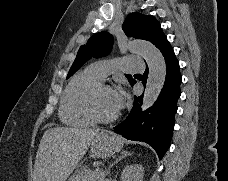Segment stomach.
Wrapping results in <instances>:
<instances>
[{
  "label": "stomach",
  "mask_w": 228,
  "mask_h": 181,
  "mask_svg": "<svg viewBox=\"0 0 228 181\" xmlns=\"http://www.w3.org/2000/svg\"><path fill=\"white\" fill-rule=\"evenodd\" d=\"M120 149H122L120 137L111 131H99L91 143L90 153L94 157L107 159V157H112L114 153H118Z\"/></svg>",
  "instance_id": "1"
}]
</instances>
